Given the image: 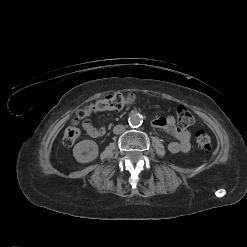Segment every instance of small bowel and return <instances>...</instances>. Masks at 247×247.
<instances>
[{
	"label": "small bowel",
	"instance_id": "1",
	"mask_svg": "<svg viewBox=\"0 0 247 247\" xmlns=\"http://www.w3.org/2000/svg\"><path fill=\"white\" fill-rule=\"evenodd\" d=\"M153 127L163 129L173 135L177 140L168 143L167 148L171 153H186L191 148V134L183 127H179L173 116L158 117L152 122ZM85 132L93 137L98 138L106 133L105 127H95L89 120L82 123Z\"/></svg>",
	"mask_w": 247,
	"mask_h": 247
}]
</instances>
